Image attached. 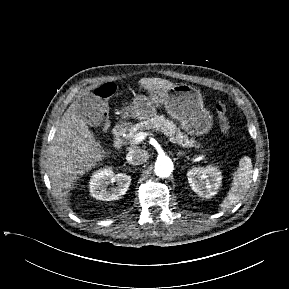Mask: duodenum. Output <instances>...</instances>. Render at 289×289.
<instances>
[{
	"instance_id": "410a0bca",
	"label": "duodenum",
	"mask_w": 289,
	"mask_h": 289,
	"mask_svg": "<svg viewBox=\"0 0 289 289\" xmlns=\"http://www.w3.org/2000/svg\"><path fill=\"white\" fill-rule=\"evenodd\" d=\"M127 131V123L125 122H119L115 125L113 129V135H114V144L116 147H121L123 143L124 135Z\"/></svg>"
}]
</instances>
